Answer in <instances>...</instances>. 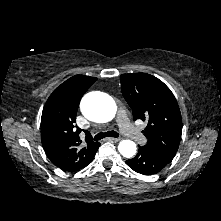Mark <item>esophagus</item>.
I'll list each match as a JSON object with an SVG mask.
<instances>
[{"mask_svg":"<svg viewBox=\"0 0 221 221\" xmlns=\"http://www.w3.org/2000/svg\"><path fill=\"white\" fill-rule=\"evenodd\" d=\"M120 140H121V138H110V141H112V142H118Z\"/></svg>","mask_w":221,"mask_h":221,"instance_id":"esophagus-1","label":"esophagus"}]
</instances>
